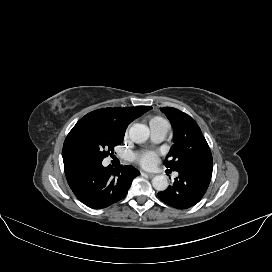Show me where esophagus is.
<instances>
[{
    "mask_svg": "<svg viewBox=\"0 0 272 272\" xmlns=\"http://www.w3.org/2000/svg\"><path fill=\"white\" fill-rule=\"evenodd\" d=\"M145 174H146L148 177H150V178H152V177H154V176H155V174H154V173H150V172H145Z\"/></svg>",
    "mask_w": 272,
    "mask_h": 272,
    "instance_id": "obj_1",
    "label": "esophagus"
}]
</instances>
